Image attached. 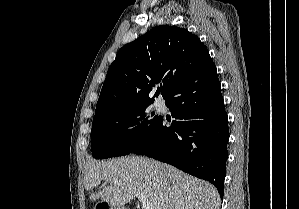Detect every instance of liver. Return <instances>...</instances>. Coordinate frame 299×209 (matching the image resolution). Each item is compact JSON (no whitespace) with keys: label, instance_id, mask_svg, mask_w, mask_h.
<instances>
[{"label":"liver","instance_id":"obj_1","mask_svg":"<svg viewBox=\"0 0 299 209\" xmlns=\"http://www.w3.org/2000/svg\"><path fill=\"white\" fill-rule=\"evenodd\" d=\"M110 182L96 193L101 181ZM85 189L91 201L101 199L122 207L136 194H143L154 209H218L216 188L204 180L152 159L128 156L85 166Z\"/></svg>","mask_w":299,"mask_h":209}]
</instances>
